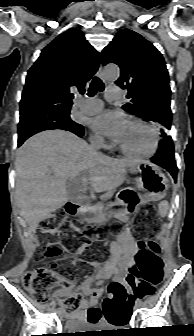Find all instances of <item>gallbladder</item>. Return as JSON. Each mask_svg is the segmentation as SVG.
I'll return each mask as SVG.
<instances>
[{"label": "gallbladder", "mask_w": 194, "mask_h": 336, "mask_svg": "<svg viewBox=\"0 0 194 336\" xmlns=\"http://www.w3.org/2000/svg\"><path fill=\"white\" fill-rule=\"evenodd\" d=\"M68 195H69L70 198H72V196H73L72 191H71L70 188H68Z\"/></svg>", "instance_id": "1"}]
</instances>
